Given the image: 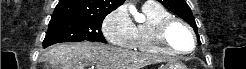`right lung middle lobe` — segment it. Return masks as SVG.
Returning <instances> with one entry per match:
<instances>
[{
    "label": "right lung middle lobe",
    "mask_w": 246,
    "mask_h": 69,
    "mask_svg": "<svg viewBox=\"0 0 246 69\" xmlns=\"http://www.w3.org/2000/svg\"><path fill=\"white\" fill-rule=\"evenodd\" d=\"M101 18L62 17L49 22L48 31L43 41L46 48L60 42L96 41L106 43L101 32Z\"/></svg>",
    "instance_id": "obj_1"
}]
</instances>
